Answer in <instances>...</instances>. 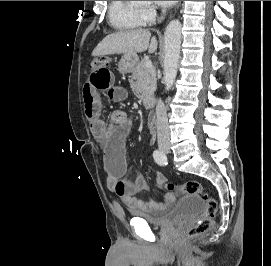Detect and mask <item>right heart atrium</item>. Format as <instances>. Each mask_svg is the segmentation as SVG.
Wrapping results in <instances>:
<instances>
[{
    "mask_svg": "<svg viewBox=\"0 0 271 266\" xmlns=\"http://www.w3.org/2000/svg\"><path fill=\"white\" fill-rule=\"evenodd\" d=\"M141 15L144 23H150L156 17V9L153 6H146L141 9Z\"/></svg>",
    "mask_w": 271,
    "mask_h": 266,
    "instance_id": "d8ad5b80",
    "label": "right heart atrium"
}]
</instances>
